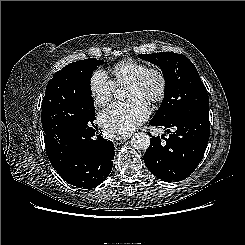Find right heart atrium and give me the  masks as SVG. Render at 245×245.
Instances as JSON below:
<instances>
[{"label": "right heart atrium", "instance_id": "right-heart-atrium-1", "mask_svg": "<svg viewBox=\"0 0 245 245\" xmlns=\"http://www.w3.org/2000/svg\"><path fill=\"white\" fill-rule=\"evenodd\" d=\"M89 92L95 107H103L112 99L114 85L102 70H96L89 79Z\"/></svg>", "mask_w": 245, "mask_h": 245}]
</instances>
